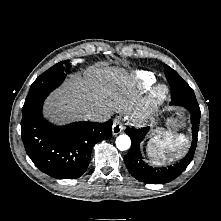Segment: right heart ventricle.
<instances>
[{"label": "right heart ventricle", "mask_w": 221, "mask_h": 221, "mask_svg": "<svg viewBox=\"0 0 221 221\" xmlns=\"http://www.w3.org/2000/svg\"><path fill=\"white\" fill-rule=\"evenodd\" d=\"M136 79L144 88H149L155 83V76L150 72H137Z\"/></svg>", "instance_id": "1"}]
</instances>
